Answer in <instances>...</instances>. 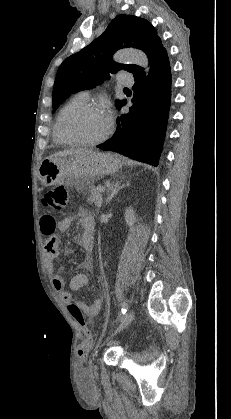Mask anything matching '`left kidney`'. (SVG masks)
Returning <instances> with one entry per match:
<instances>
[{"instance_id":"obj_1","label":"left kidney","mask_w":231,"mask_h":419,"mask_svg":"<svg viewBox=\"0 0 231 419\" xmlns=\"http://www.w3.org/2000/svg\"><path fill=\"white\" fill-rule=\"evenodd\" d=\"M135 212L133 211L132 207H129L125 211V221L131 227L135 222Z\"/></svg>"}]
</instances>
